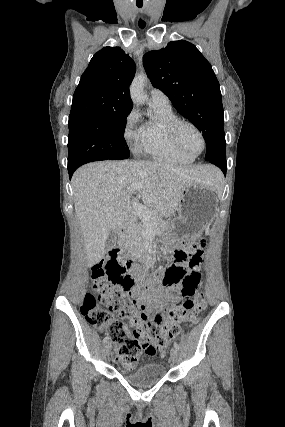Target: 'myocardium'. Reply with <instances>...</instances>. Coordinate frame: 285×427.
<instances>
[{
  "label": "myocardium",
  "mask_w": 285,
  "mask_h": 427,
  "mask_svg": "<svg viewBox=\"0 0 285 427\" xmlns=\"http://www.w3.org/2000/svg\"><path fill=\"white\" fill-rule=\"evenodd\" d=\"M184 126H188V127H190V128H192L197 134H198V136H199V138H200V140H201V144H202V147H201V149H200V151L199 152H197V153H194V154H192V153H190V152H188L184 147H183V145L181 144V142H180V140H179V131H180V129L182 128V127H184ZM167 131H168V133H169V136H170V138H171V140H172V142H173V144H174V146L181 152V153H183V154H186V155H188V156H191V157H197V156H199L204 150H205V147H206V140H205V137H204V135H203V133H202V131L199 129V127L198 126H196L194 123H192V122H190V121H187V120H183V119H176V120H174V121H172L169 125H168V127H167Z\"/></svg>",
  "instance_id": "1"
}]
</instances>
